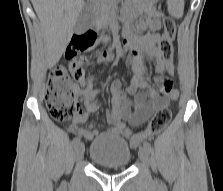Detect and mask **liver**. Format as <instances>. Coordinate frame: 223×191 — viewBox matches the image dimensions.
Returning <instances> with one entry per match:
<instances>
[{
  "instance_id": "1",
  "label": "liver",
  "mask_w": 223,
  "mask_h": 191,
  "mask_svg": "<svg viewBox=\"0 0 223 191\" xmlns=\"http://www.w3.org/2000/svg\"><path fill=\"white\" fill-rule=\"evenodd\" d=\"M41 22L46 63L55 66L69 44L84 0H31Z\"/></svg>"
}]
</instances>
